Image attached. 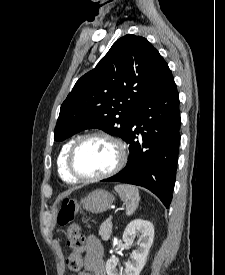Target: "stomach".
I'll use <instances>...</instances> for the list:
<instances>
[{
  "instance_id": "obj_1",
  "label": "stomach",
  "mask_w": 225,
  "mask_h": 275,
  "mask_svg": "<svg viewBox=\"0 0 225 275\" xmlns=\"http://www.w3.org/2000/svg\"><path fill=\"white\" fill-rule=\"evenodd\" d=\"M112 202V195L105 190L99 189L88 194L82 200V205L88 212L98 214L108 210Z\"/></svg>"
}]
</instances>
